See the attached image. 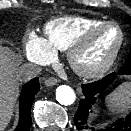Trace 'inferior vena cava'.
Here are the masks:
<instances>
[{"label":"inferior vena cava","mask_w":131,"mask_h":131,"mask_svg":"<svg viewBox=\"0 0 131 131\" xmlns=\"http://www.w3.org/2000/svg\"><path fill=\"white\" fill-rule=\"evenodd\" d=\"M41 72V68L32 63L24 64L22 65L17 73H16V78L20 81H29L32 78L36 77L39 73Z\"/></svg>","instance_id":"inferior-vena-cava-1"}]
</instances>
